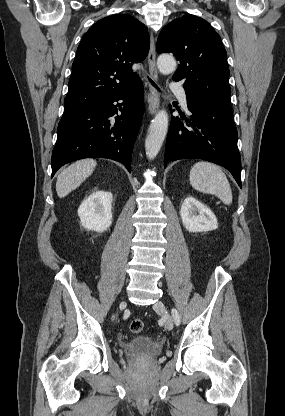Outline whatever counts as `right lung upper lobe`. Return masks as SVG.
Returning <instances> with one entry per match:
<instances>
[{
	"label": "right lung upper lobe",
	"mask_w": 285,
	"mask_h": 416,
	"mask_svg": "<svg viewBox=\"0 0 285 416\" xmlns=\"http://www.w3.org/2000/svg\"><path fill=\"white\" fill-rule=\"evenodd\" d=\"M149 46L147 27L136 18L118 14L99 20L78 46L65 109L110 100L136 84L132 65L145 59Z\"/></svg>",
	"instance_id": "right-lung-upper-lobe-1"
}]
</instances>
